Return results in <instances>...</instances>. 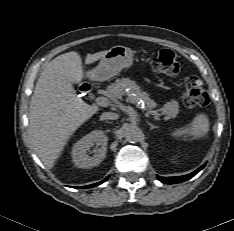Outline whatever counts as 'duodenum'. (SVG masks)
Returning a JSON list of instances; mask_svg holds the SVG:
<instances>
[{
    "label": "duodenum",
    "instance_id": "obj_1",
    "mask_svg": "<svg viewBox=\"0 0 234 231\" xmlns=\"http://www.w3.org/2000/svg\"><path fill=\"white\" fill-rule=\"evenodd\" d=\"M81 88H82L83 90H90V85H89V84H83V85L81 86Z\"/></svg>",
    "mask_w": 234,
    "mask_h": 231
}]
</instances>
